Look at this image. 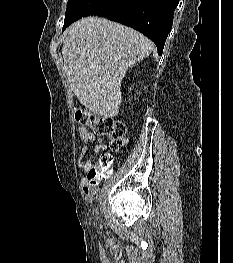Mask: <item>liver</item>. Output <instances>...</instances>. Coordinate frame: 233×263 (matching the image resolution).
Segmentation results:
<instances>
[{
    "label": "liver",
    "mask_w": 233,
    "mask_h": 263,
    "mask_svg": "<svg viewBox=\"0 0 233 263\" xmlns=\"http://www.w3.org/2000/svg\"><path fill=\"white\" fill-rule=\"evenodd\" d=\"M153 49V42L132 28L105 18H82L69 27L62 46L70 88L94 114L115 117L128 68Z\"/></svg>",
    "instance_id": "obj_1"
}]
</instances>
